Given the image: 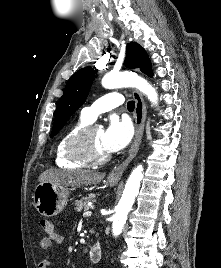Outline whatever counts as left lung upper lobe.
<instances>
[{
	"label": "left lung upper lobe",
	"mask_w": 221,
	"mask_h": 268,
	"mask_svg": "<svg viewBox=\"0 0 221 268\" xmlns=\"http://www.w3.org/2000/svg\"><path fill=\"white\" fill-rule=\"evenodd\" d=\"M125 65L128 68H140L152 76L151 61L146 51L137 43L127 44ZM95 71L86 67L77 71L67 82L60 98L50 137H54L64 126L70 116L84 103L94 79Z\"/></svg>",
	"instance_id": "left-lung-upper-lobe-1"
}]
</instances>
